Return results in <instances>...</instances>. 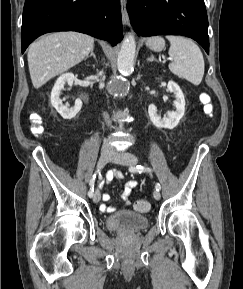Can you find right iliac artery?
Wrapping results in <instances>:
<instances>
[{
    "label": "right iliac artery",
    "mask_w": 243,
    "mask_h": 289,
    "mask_svg": "<svg viewBox=\"0 0 243 289\" xmlns=\"http://www.w3.org/2000/svg\"><path fill=\"white\" fill-rule=\"evenodd\" d=\"M96 175H97V172L91 177L90 179V190L88 192V196L91 198L93 197V193H94V183H95V179H96Z\"/></svg>",
    "instance_id": "82829eb1"
}]
</instances>
